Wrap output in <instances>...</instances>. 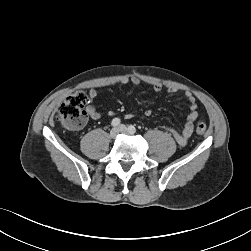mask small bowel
I'll list each match as a JSON object with an SVG mask.
<instances>
[{
  "label": "small bowel",
  "instance_id": "1",
  "mask_svg": "<svg viewBox=\"0 0 251 251\" xmlns=\"http://www.w3.org/2000/svg\"><path fill=\"white\" fill-rule=\"evenodd\" d=\"M120 83L124 85L133 84L137 86L141 84V80L136 76H124L121 79ZM152 87H153V90L156 92H159L162 90V85L158 83L153 84ZM168 92L176 93L178 92V89L174 87H170L168 88ZM97 95L98 93L95 89L89 90V93H88L89 105L86 107V113L93 120H98L101 117L100 112L95 108V106L92 105V102L97 98ZM185 97L189 103L190 112L187 115L186 122L183 126L182 131L177 132L176 130L172 128H167V131L174 137V139L180 146H185L187 144L190 136L193 133L194 122L197 120L199 116L198 107H197V103L194 96L189 91H187L185 92ZM151 113H152L151 110L145 111L146 116H150ZM133 116L134 114H127L126 118H132Z\"/></svg>",
  "mask_w": 251,
  "mask_h": 251
}]
</instances>
